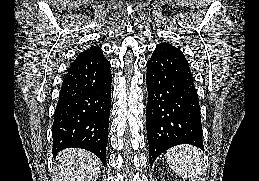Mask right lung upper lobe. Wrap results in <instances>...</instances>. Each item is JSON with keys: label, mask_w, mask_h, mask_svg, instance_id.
Returning <instances> with one entry per match:
<instances>
[{"label": "right lung upper lobe", "mask_w": 259, "mask_h": 181, "mask_svg": "<svg viewBox=\"0 0 259 181\" xmlns=\"http://www.w3.org/2000/svg\"><path fill=\"white\" fill-rule=\"evenodd\" d=\"M102 50L97 47V46H92L86 50H84L83 52H81L77 57H76V60L77 59H81V58H84V57H87V56H91V55H94L96 53H99L101 52Z\"/></svg>", "instance_id": "right-lung-upper-lobe-1"}]
</instances>
